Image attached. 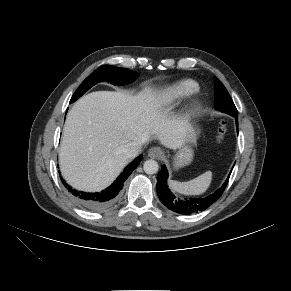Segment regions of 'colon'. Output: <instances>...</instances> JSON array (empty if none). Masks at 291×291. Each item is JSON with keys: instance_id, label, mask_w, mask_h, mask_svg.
<instances>
[{"instance_id": "obj_1", "label": "colon", "mask_w": 291, "mask_h": 291, "mask_svg": "<svg viewBox=\"0 0 291 291\" xmlns=\"http://www.w3.org/2000/svg\"><path fill=\"white\" fill-rule=\"evenodd\" d=\"M228 135V126L226 122H222L218 128V132H217V142L218 143H222L223 141H225L226 137Z\"/></svg>"}]
</instances>
